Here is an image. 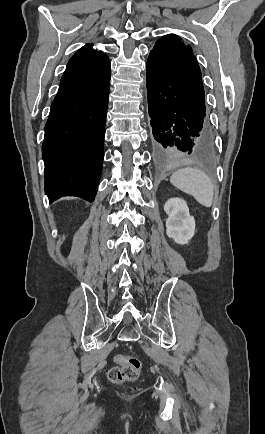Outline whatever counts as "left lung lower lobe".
<instances>
[{
  "instance_id": "1",
  "label": "left lung lower lobe",
  "mask_w": 265,
  "mask_h": 434,
  "mask_svg": "<svg viewBox=\"0 0 265 434\" xmlns=\"http://www.w3.org/2000/svg\"><path fill=\"white\" fill-rule=\"evenodd\" d=\"M146 71L154 150L161 155L178 150L187 154L212 152L214 134L205 100L156 56L149 55Z\"/></svg>"
}]
</instances>
